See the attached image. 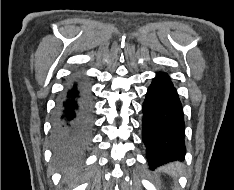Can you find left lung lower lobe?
Segmentation results:
<instances>
[{"mask_svg":"<svg viewBox=\"0 0 234 190\" xmlns=\"http://www.w3.org/2000/svg\"><path fill=\"white\" fill-rule=\"evenodd\" d=\"M142 112V140L150 168L183 159L186 154L183 109L166 73L159 72L154 78Z\"/></svg>","mask_w":234,"mask_h":190,"instance_id":"left-lung-lower-lobe-1","label":"left lung lower lobe"}]
</instances>
